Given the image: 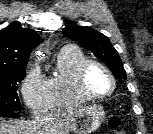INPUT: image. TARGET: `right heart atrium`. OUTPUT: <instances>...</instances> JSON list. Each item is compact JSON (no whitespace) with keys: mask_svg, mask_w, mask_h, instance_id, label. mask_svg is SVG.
I'll list each match as a JSON object with an SVG mask.
<instances>
[{"mask_svg":"<svg viewBox=\"0 0 153 134\" xmlns=\"http://www.w3.org/2000/svg\"><path fill=\"white\" fill-rule=\"evenodd\" d=\"M21 95L26 106L35 114L48 109L47 80L38 66L29 68L21 83Z\"/></svg>","mask_w":153,"mask_h":134,"instance_id":"obj_1","label":"right heart atrium"}]
</instances>
